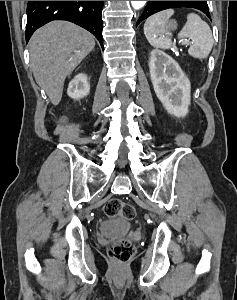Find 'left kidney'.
Instances as JSON below:
<instances>
[{"label":"left kidney","mask_w":237,"mask_h":300,"mask_svg":"<svg viewBox=\"0 0 237 300\" xmlns=\"http://www.w3.org/2000/svg\"><path fill=\"white\" fill-rule=\"evenodd\" d=\"M152 85L164 109L174 117H186L190 105V81L178 63L159 49L151 51Z\"/></svg>","instance_id":"left-kidney-1"}]
</instances>
